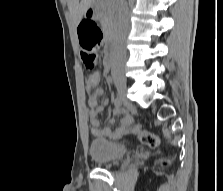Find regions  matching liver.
I'll use <instances>...</instances> for the list:
<instances>
[{
    "instance_id": "1",
    "label": "liver",
    "mask_w": 223,
    "mask_h": 191,
    "mask_svg": "<svg viewBox=\"0 0 223 191\" xmlns=\"http://www.w3.org/2000/svg\"><path fill=\"white\" fill-rule=\"evenodd\" d=\"M95 1L96 0H68V9L76 26L81 22L86 11L94 5Z\"/></svg>"
}]
</instances>
